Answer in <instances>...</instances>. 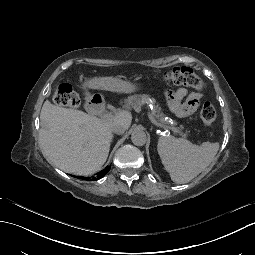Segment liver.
I'll return each instance as SVG.
<instances>
[{"label":"liver","instance_id":"obj_1","mask_svg":"<svg viewBox=\"0 0 255 255\" xmlns=\"http://www.w3.org/2000/svg\"><path fill=\"white\" fill-rule=\"evenodd\" d=\"M108 89L118 91L116 78H102ZM40 143L44 154L56 167L77 175L94 173L106 162L113 135L110 126L123 122L130 126L132 115L120 110L108 121L83 111L63 108L46 100L40 114Z\"/></svg>","mask_w":255,"mask_h":255}]
</instances>
